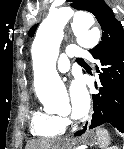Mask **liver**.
Wrapping results in <instances>:
<instances>
[{
	"mask_svg": "<svg viewBox=\"0 0 124 149\" xmlns=\"http://www.w3.org/2000/svg\"><path fill=\"white\" fill-rule=\"evenodd\" d=\"M25 149H55V146L50 140H32L27 143Z\"/></svg>",
	"mask_w": 124,
	"mask_h": 149,
	"instance_id": "obj_1",
	"label": "liver"
}]
</instances>
